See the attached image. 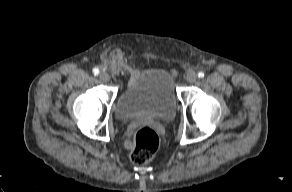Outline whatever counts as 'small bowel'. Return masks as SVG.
<instances>
[{
  "instance_id": "c3829d8e",
  "label": "small bowel",
  "mask_w": 292,
  "mask_h": 192,
  "mask_svg": "<svg viewBox=\"0 0 292 192\" xmlns=\"http://www.w3.org/2000/svg\"><path fill=\"white\" fill-rule=\"evenodd\" d=\"M123 146H124L125 149L130 150V149L133 148L134 143H133L132 140L127 139V140L124 141Z\"/></svg>"
}]
</instances>
